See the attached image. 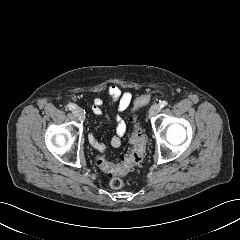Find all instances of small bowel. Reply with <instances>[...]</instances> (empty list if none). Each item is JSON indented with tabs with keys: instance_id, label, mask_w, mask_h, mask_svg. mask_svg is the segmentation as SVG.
I'll use <instances>...</instances> for the list:
<instances>
[{
	"instance_id": "c3829d8e",
	"label": "small bowel",
	"mask_w": 240,
	"mask_h": 240,
	"mask_svg": "<svg viewBox=\"0 0 240 240\" xmlns=\"http://www.w3.org/2000/svg\"><path fill=\"white\" fill-rule=\"evenodd\" d=\"M108 94L113 104L116 105L119 112L125 111L131 104L132 95L128 91H123L117 85H110L108 87ZM103 100L101 98H95L92 104V111L96 116L103 114ZM114 135L111 137L108 144L101 142L94 134H90L88 139L90 144L99 152H105L108 147H119L122 144L123 136L127 131V125L121 116H117Z\"/></svg>"
}]
</instances>
